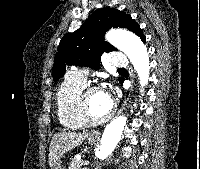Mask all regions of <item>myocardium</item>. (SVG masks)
I'll return each mask as SVG.
<instances>
[{
  "mask_svg": "<svg viewBox=\"0 0 200 169\" xmlns=\"http://www.w3.org/2000/svg\"><path fill=\"white\" fill-rule=\"evenodd\" d=\"M99 90H100V88L97 86H86L78 94V97H77L78 116H79L81 123L85 127H97L99 125H102L106 121H108L114 113V109L112 106V108L107 113V115L99 120H92L89 117L88 108H87V97L90 93H92L94 91H99Z\"/></svg>",
  "mask_w": 200,
  "mask_h": 169,
  "instance_id": "f54148a6",
  "label": "myocardium"
}]
</instances>
